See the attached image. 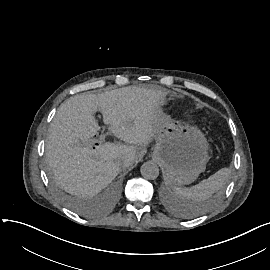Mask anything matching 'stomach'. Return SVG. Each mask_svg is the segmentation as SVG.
<instances>
[{
	"label": "stomach",
	"mask_w": 270,
	"mask_h": 270,
	"mask_svg": "<svg viewBox=\"0 0 270 270\" xmlns=\"http://www.w3.org/2000/svg\"><path fill=\"white\" fill-rule=\"evenodd\" d=\"M155 141L152 157L164 168L173 185L190 184L205 171L209 144L197 126L160 115L154 122Z\"/></svg>",
	"instance_id": "0dacf381"
}]
</instances>
